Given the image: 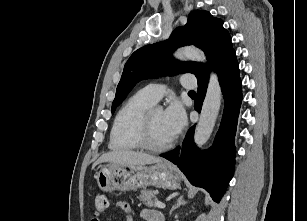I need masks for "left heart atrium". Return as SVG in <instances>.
Returning <instances> with one entry per match:
<instances>
[{"instance_id":"1","label":"left heart atrium","mask_w":307,"mask_h":221,"mask_svg":"<svg viewBox=\"0 0 307 221\" xmlns=\"http://www.w3.org/2000/svg\"><path fill=\"white\" fill-rule=\"evenodd\" d=\"M164 119L171 138L177 137L186 125V113L178 102H172L164 112Z\"/></svg>"}]
</instances>
